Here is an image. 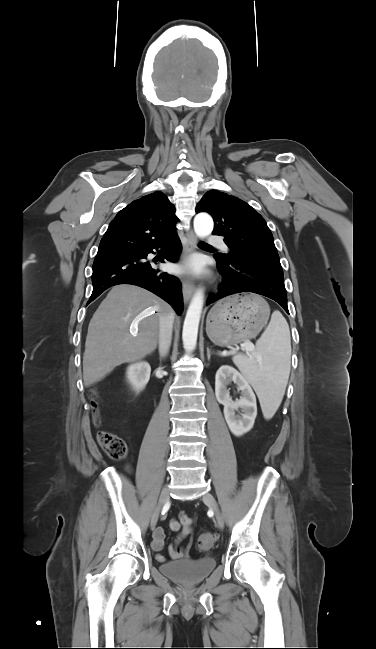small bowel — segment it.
I'll list each match as a JSON object with an SVG mask.
<instances>
[{
	"instance_id": "small-bowel-1",
	"label": "small bowel",
	"mask_w": 376,
	"mask_h": 649,
	"mask_svg": "<svg viewBox=\"0 0 376 649\" xmlns=\"http://www.w3.org/2000/svg\"><path fill=\"white\" fill-rule=\"evenodd\" d=\"M192 524L193 519L184 512H181L177 519H173L169 522L170 529L176 533L173 542L169 546V554L172 558L179 559L187 557L191 544L189 543L186 549H181L177 545L185 537L191 536ZM164 538L165 533L162 527L154 529L152 547L156 552H159L163 548ZM156 558L160 562L165 561L164 556L159 553L156 555Z\"/></svg>"
}]
</instances>
